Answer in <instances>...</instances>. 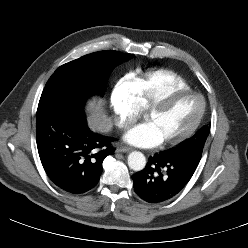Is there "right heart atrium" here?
<instances>
[{
    "mask_svg": "<svg viewBox=\"0 0 248 248\" xmlns=\"http://www.w3.org/2000/svg\"><path fill=\"white\" fill-rule=\"evenodd\" d=\"M110 107L114 113L115 125L121 129L129 128L143 110L125 81L119 82L113 88L110 94Z\"/></svg>",
    "mask_w": 248,
    "mask_h": 248,
    "instance_id": "right-heart-atrium-1",
    "label": "right heart atrium"
}]
</instances>
